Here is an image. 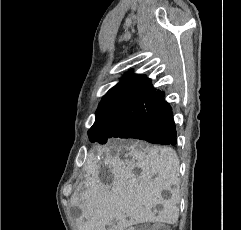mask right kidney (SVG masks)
Segmentation results:
<instances>
[{"mask_svg":"<svg viewBox=\"0 0 241 230\" xmlns=\"http://www.w3.org/2000/svg\"><path fill=\"white\" fill-rule=\"evenodd\" d=\"M127 230H133V228H129V229H127Z\"/></svg>","mask_w":241,"mask_h":230,"instance_id":"1","label":"right kidney"}]
</instances>
